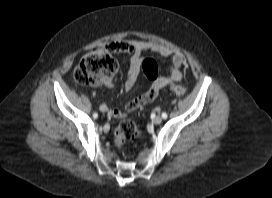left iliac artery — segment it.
I'll return each mask as SVG.
<instances>
[{"label": "left iliac artery", "mask_w": 272, "mask_h": 198, "mask_svg": "<svg viewBox=\"0 0 272 198\" xmlns=\"http://www.w3.org/2000/svg\"><path fill=\"white\" fill-rule=\"evenodd\" d=\"M162 118H164V119L167 118V114L165 112L162 113Z\"/></svg>", "instance_id": "left-iliac-artery-1"}]
</instances>
